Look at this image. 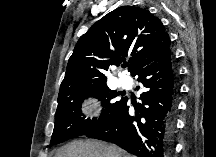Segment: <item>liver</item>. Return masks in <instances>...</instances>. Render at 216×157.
<instances>
[{"instance_id": "liver-1", "label": "liver", "mask_w": 216, "mask_h": 157, "mask_svg": "<svg viewBox=\"0 0 216 157\" xmlns=\"http://www.w3.org/2000/svg\"><path fill=\"white\" fill-rule=\"evenodd\" d=\"M55 157H131L116 145L101 141L72 142L55 154Z\"/></svg>"}]
</instances>
